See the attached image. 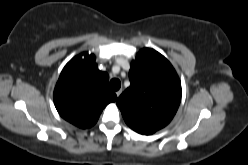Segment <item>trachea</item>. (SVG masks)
Returning <instances> with one entry per match:
<instances>
[{"mask_svg": "<svg viewBox=\"0 0 248 165\" xmlns=\"http://www.w3.org/2000/svg\"><path fill=\"white\" fill-rule=\"evenodd\" d=\"M120 87H121V82H120L119 79L114 78V79H112V80L110 81V88H111L113 91L119 90Z\"/></svg>", "mask_w": 248, "mask_h": 165, "instance_id": "3493384b", "label": "trachea"}]
</instances>
